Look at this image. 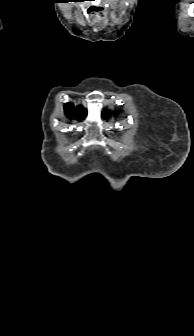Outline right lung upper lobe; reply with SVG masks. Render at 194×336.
Masks as SVG:
<instances>
[{
  "label": "right lung upper lobe",
  "mask_w": 194,
  "mask_h": 336,
  "mask_svg": "<svg viewBox=\"0 0 194 336\" xmlns=\"http://www.w3.org/2000/svg\"><path fill=\"white\" fill-rule=\"evenodd\" d=\"M65 112L69 118H76L78 120L83 119L87 115V111L83 106H77L75 108L71 103L65 105Z\"/></svg>",
  "instance_id": "cb5924a9"
}]
</instances>
